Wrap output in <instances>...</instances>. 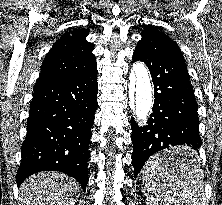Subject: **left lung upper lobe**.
<instances>
[{"label": "left lung upper lobe", "instance_id": "left-lung-upper-lobe-1", "mask_svg": "<svg viewBox=\"0 0 222 205\" xmlns=\"http://www.w3.org/2000/svg\"><path fill=\"white\" fill-rule=\"evenodd\" d=\"M154 34H163L162 32H160L157 28H145L141 35H154Z\"/></svg>", "mask_w": 222, "mask_h": 205}]
</instances>
